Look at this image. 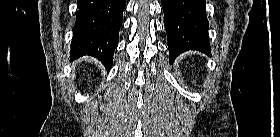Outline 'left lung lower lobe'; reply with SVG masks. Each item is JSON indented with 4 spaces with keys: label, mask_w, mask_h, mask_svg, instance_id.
<instances>
[{
    "label": "left lung lower lobe",
    "mask_w": 280,
    "mask_h": 137,
    "mask_svg": "<svg viewBox=\"0 0 280 137\" xmlns=\"http://www.w3.org/2000/svg\"><path fill=\"white\" fill-rule=\"evenodd\" d=\"M205 5V0H162L171 60L187 50L210 52Z\"/></svg>",
    "instance_id": "0a47b994"
}]
</instances>
